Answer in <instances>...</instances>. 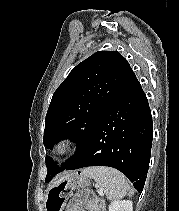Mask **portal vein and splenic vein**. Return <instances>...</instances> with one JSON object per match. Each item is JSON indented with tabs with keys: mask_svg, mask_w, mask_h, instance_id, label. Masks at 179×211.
Wrapping results in <instances>:
<instances>
[{
	"mask_svg": "<svg viewBox=\"0 0 179 211\" xmlns=\"http://www.w3.org/2000/svg\"><path fill=\"white\" fill-rule=\"evenodd\" d=\"M98 193L103 194V190L102 189L98 190Z\"/></svg>",
	"mask_w": 179,
	"mask_h": 211,
	"instance_id": "18ae733b",
	"label": "portal vein and splenic vein"
}]
</instances>
